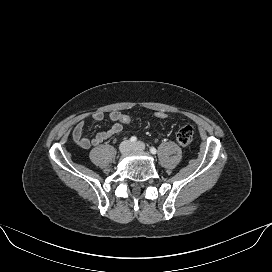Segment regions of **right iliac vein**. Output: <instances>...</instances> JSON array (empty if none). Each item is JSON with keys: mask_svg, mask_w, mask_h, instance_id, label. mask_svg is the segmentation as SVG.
<instances>
[{"mask_svg": "<svg viewBox=\"0 0 272 272\" xmlns=\"http://www.w3.org/2000/svg\"><path fill=\"white\" fill-rule=\"evenodd\" d=\"M131 149H132V145L129 141H124L120 145V152L123 155L129 153L131 151Z\"/></svg>", "mask_w": 272, "mask_h": 272, "instance_id": "1", "label": "right iliac vein"}]
</instances>
